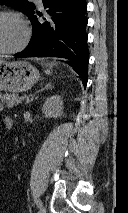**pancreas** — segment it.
<instances>
[{
  "label": "pancreas",
  "mask_w": 128,
  "mask_h": 213,
  "mask_svg": "<svg viewBox=\"0 0 128 213\" xmlns=\"http://www.w3.org/2000/svg\"><path fill=\"white\" fill-rule=\"evenodd\" d=\"M0 101L7 107H13L21 103V98L17 94H0Z\"/></svg>",
  "instance_id": "1"
}]
</instances>
